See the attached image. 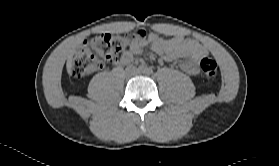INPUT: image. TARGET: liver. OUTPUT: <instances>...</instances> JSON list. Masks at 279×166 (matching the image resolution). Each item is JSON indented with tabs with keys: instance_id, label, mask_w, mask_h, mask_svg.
I'll return each mask as SVG.
<instances>
[{
	"instance_id": "obj_1",
	"label": "liver",
	"mask_w": 279,
	"mask_h": 166,
	"mask_svg": "<svg viewBox=\"0 0 279 166\" xmlns=\"http://www.w3.org/2000/svg\"><path fill=\"white\" fill-rule=\"evenodd\" d=\"M73 54H74L73 50H71L69 52V54H68V59H67V63H66V68H67L68 74H71V72H72V67H73L72 58H73Z\"/></svg>"
}]
</instances>
